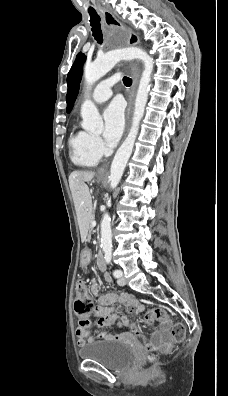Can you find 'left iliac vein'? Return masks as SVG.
I'll list each match as a JSON object with an SVG mask.
<instances>
[{"label":"left iliac vein","instance_id":"1","mask_svg":"<svg viewBox=\"0 0 228 396\" xmlns=\"http://www.w3.org/2000/svg\"><path fill=\"white\" fill-rule=\"evenodd\" d=\"M117 282L119 286H124L126 283L125 278L122 275L119 277Z\"/></svg>","mask_w":228,"mask_h":396}]
</instances>
